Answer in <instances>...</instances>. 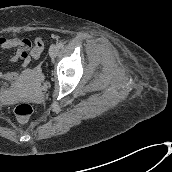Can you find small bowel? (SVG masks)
I'll list each match as a JSON object with an SVG mask.
<instances>
[{
    "label": "small bowel",
    "mask_w": 172,
    "mask_h": 172,
    "mask_svg": "<svg viewBox=\"0 0 172 172\" xmlns=\"http://www.w3.org/2000/svg\"><path fill=\"white\" fill-rule=\"evenodd\" d=\"M16 49V53L11 57V62H19L18 71L1 72L0 79L4 82L16 80L27 68L31 59H38L43 51V39L36 38L33 42L28 38L0 37V50Z\"/></svg>",
    "instance_id": "obj_1"
}]
</instances>
